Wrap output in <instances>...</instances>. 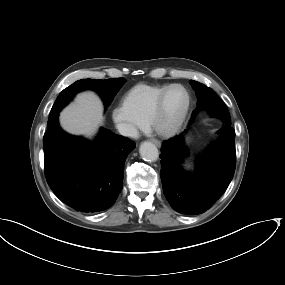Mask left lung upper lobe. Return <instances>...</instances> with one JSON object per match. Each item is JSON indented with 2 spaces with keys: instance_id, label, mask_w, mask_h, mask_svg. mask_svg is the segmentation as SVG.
Wrapping results in <instances>:
<instances>
[{
  "instance_id": "1",
  "label": "left lung upper lobe",
  "mask_w": 285,
  "mask_h": 285,
  "mask_svg": "<svg viewBox=\"0 0 285 285\" xmlns=\"http://www.w3.org/2000/svg\"><path fill=\"white\" fill-rule=\"evenodd\" d=\"M190 84L195 89L198 97L197 107L193 112L192 117H194V115L199 110L209 109L213 116L220 117L224 121H230V115L225 104L221 109H215L212 107V104L216 103V100H221V99L211 88L193 80L190 81Z\"/></svg>"
}]
</instances>
